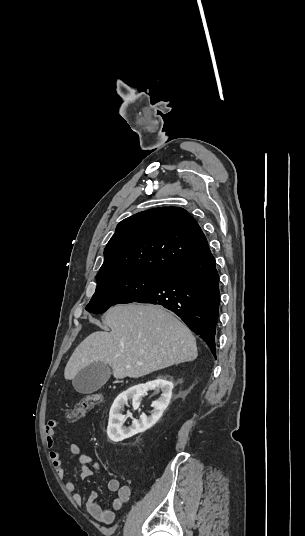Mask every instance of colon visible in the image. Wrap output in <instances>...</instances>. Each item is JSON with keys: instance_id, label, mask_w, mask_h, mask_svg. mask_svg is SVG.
Instances as JSON below:
<instances>
[{"instance_id": "obj_1", "label": "colon", "mask_w": 305, "mask_h": 536, "mask_svg": "<svg viewBox=\"0 0 305 536\" xmlns=\"http://www.w3.org/2000/svg\"><path fill=\"white\" fill-rule=\"evenodd\" d=\"M103 396L101 393H89L81 399H78L75 404L67 410L66 417L70 422H76L86 413H88L95 405L102 402Z\"/></svg>"}]
</instances>
